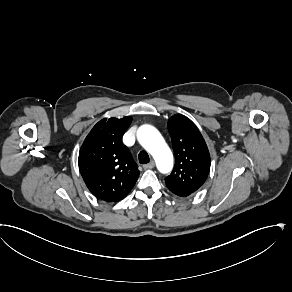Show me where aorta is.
<instances>
[{
  "mask_svg": "<svg viewBox=\"0 0 292 292\" xmlns=\"http://www.w3.org/2000/svg\"><path fill=\"white\" fill-rule=\"evenodd\" d=\"M141 145L153 156L157 169L169 173L173 168V154L158 130L151 125H142L137 131Z\"/></svg>",
  "mask_w": 292,
  "mask_h": 292,
  "instance_id": "1",
  "label": "aorta"
}]
</instances>
